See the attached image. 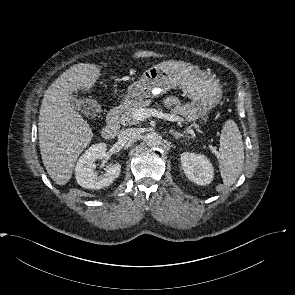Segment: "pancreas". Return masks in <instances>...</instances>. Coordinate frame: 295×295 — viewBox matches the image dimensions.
<instances>
[{
	"label": "pancreas",
	"mask_w": 295,
	"mask_h": 295,
	"mask_svg": "<svg viewBox=\"0 0 295 295\" xmlns=\"http://www.w3.org/2000/svg\"><path fill=\"white\" fill-rule=\"evenodd\" d=\"M151 104V100H138L135 101L123 111L121 114L120 122L123 125H133L137 124L138 121L134 119L133 114L139 108H145ZM175 114H180L185 122H193L198 117L197 109L193 106V104H184L177 105L173 109Z\"/></svg>",
	"instance_id": "cf45deb5"
}]
</instances>
